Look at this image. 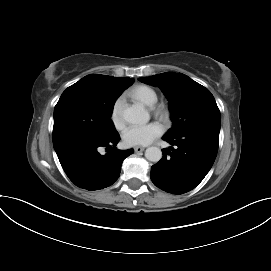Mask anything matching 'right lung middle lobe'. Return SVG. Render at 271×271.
Instances as JSON below:
<instances>
[{"mask_svg": "<svg viewBox=\"0 0 271 271\" xmlns=\"http://www.w3.org/2000/svg\"><path fill=\"white\" fill-rule=\"evenodd\" d=\"M124 90L86 77L68 87L54 109V148L79 138L117 134L110 116Z\"/></svg>", "mask_w": 271, "mask_h": 271, "instance_id": "1", "label": "right lung middle lobe"}]
</instances>
